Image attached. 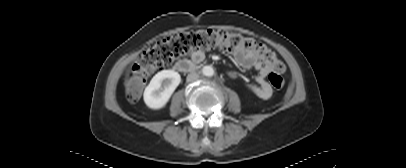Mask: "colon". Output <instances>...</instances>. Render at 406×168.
<instances>
[{"label":"colon","mask_w":406,"mask_h":168,"mask_svg":"<svg viewBox=\"0 0 406 168\" xmlns=\"http://www.w3.org/2000/svg\"><path fill=\"white\" fill-rule=\"evenodd\" d=\"M221 48L227 52H250L258 55L273 69L268 79L275 89L284 85V65L266 44L239 33L221 29H195L163 38L146 49L124 77L129 101H137L144 89L147 77L154 71L168 67L176 59L195 52Z\"/></svg>","instance_id":"1"}]
</instances>
